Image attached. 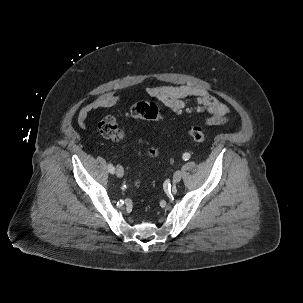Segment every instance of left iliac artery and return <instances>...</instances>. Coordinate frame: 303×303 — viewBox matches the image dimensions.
<instances>
[{"instance_id": "1", "label": "left iliac artery", "mask_w": 303, "mask_h": 303, "mask_svg": "<svg viewBox=\"0 0 303 303\" xmlns=\"http://www.w3.org/2000/svg\"><path fill=\"white\" fill-rule=\"evenodd\" d=\"M189 158H190V154L189 153L186 152V153L183 154V160L186 161V160H189Z\"/></svg>"}]
</instances>
